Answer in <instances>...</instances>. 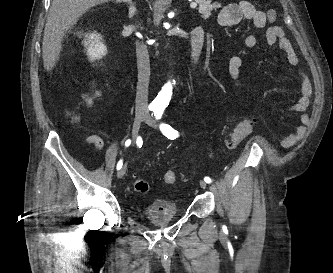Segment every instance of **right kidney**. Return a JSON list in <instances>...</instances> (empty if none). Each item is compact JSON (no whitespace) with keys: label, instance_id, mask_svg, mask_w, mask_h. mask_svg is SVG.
I'll list each match as a JSON object with an SVG mask.
<instances>
[{"label":"right kidney","instance_id":"right-kidney-1","mask_svg":"<svg viewBox=\"0 0 333 273\" xmlns=\"http://www.w3.org/2000/svg\"><path fill=\"white\" fill-rule=\"evenodd\" d=\"M84 40V47L87 49V55L91 62L101 59L107 53V47L101 41L102 37L99 33L93 32L87 34Z\"/></svg>","mask_w":333,"mask_h":273}]
</instances>
